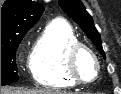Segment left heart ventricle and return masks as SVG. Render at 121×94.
<instances>
[{
	"instance_id": "left-heart-ventricle-1",
	"label": "left heart ventricle",
	"mask_w": 121,
	"mask_h": 94,
	"mask_svg": "<svg viewBox=\"0 0 121 94\" xmlns=\"http://www.w3.org/2000/svg\"><path fill=\"white\" fill-rule=\"evenodd\" d=\"M77 68L80 75L85 79H91L96 74V64L94 59L87 53L82 52L77 59Z\"/></svg>"
}]
</instances>
